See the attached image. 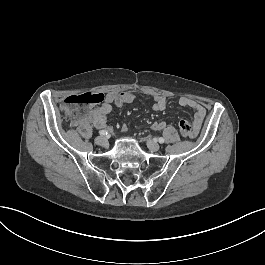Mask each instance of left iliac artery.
I'll return each instance as SVG.
<instances>
[{
    "mask_svg": "<svg viewBox=\"0 0 265 265\" xmlns=\"http://www.w3.org/2000/svg\"><path fill=\"white\" fill-rule=\"evenodd\" d=\"M158 141H159V143H164V139H163L162 137H160V138L158 139Z\"/></svg>",
    "mask_w": 265,
    "mask_h": 265,
    "instance_id": "obj_1",
    "label": "left iliac artery"
}]
</instances>
